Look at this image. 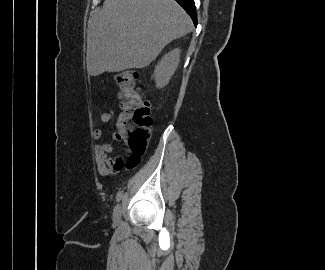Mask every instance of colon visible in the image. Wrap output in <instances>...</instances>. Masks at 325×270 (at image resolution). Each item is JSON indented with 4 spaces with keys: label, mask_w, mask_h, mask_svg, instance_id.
Returning <instances> with one entry per match:
<instances>
[{
    "label": "colon",
    "mask_w": 325,
    "mask_h": 270,
    "mask_svg": "<svg viewBox=\"0 0 325 270\" xmlns=\"http://www.w3.org/2000/svg\"><path fill=\"white\" fill-rule=\"evenodd\" d=\"M119 88L122 113L118 119L115 139L123 142L128 149L127 167L139 165L150 137L152 118L150 103L139 92L138 74L134 70H125L115 78Z\"/></svg>",
    "instance_id": "5ec220e1"
}]
</instances>
